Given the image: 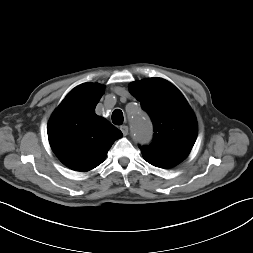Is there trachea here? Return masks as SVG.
Wrapping results in <instances>:
<instances>
[{"instance_id":"1","label":"trachea","mask_w":253,"mask_h":253,"mask_svg":"<svg viewBox=\"0 0 253 253\" xmlns=\"http://www.w3.org/2000/svg\"><path fill=\"white\" fill-rule=\"evenodd\" d=\"M123 120H124V117H123L122 111L120 109L114 110L112 113V122L115 125H122Z\"/></svg>"}]
</instances>
